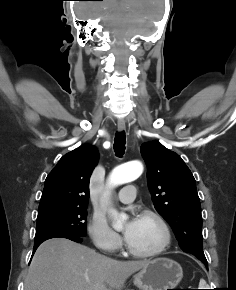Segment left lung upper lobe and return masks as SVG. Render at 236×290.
Returning a JSON list of instances; mask_svg holds the SVG:
<instances>
[{
    "label": "left lung upper lobe",
    "mask_w": 236,
    "mask_h": 290,
    "mask_svg": "<svg viewBox=\"0 0 236 290\" xmlns=\"http://www.w3.org/2000/svg\"><path fill=\"white\" fill-rule=\"evenodd\" d=\"M154 207L170 224L180 248L206 261L195 179L184 161L158 141L141 145Z\"/></svg>",
    "instance_id": "obj_1"
}]
</instances>
